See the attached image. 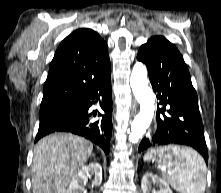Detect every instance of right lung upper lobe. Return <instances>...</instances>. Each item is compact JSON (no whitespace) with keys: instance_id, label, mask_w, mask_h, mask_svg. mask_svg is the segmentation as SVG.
Listing matches in <instances>:
<instances>
[{"instance_id":"cb5924a9","label":"right lung upper lobe","mask_w":221,"mask_h":193,"mask_svg":"<svg viewBox=\"0 0 221 193\" xmlns=\"http://www.w3.org/2000/svg\"><path fill=\"white\" fill-rule=\"evenodd\" d=\"M109 65L107 44L95 31L87 28L74 31L54 55L42 102L78 99L93 78Z\"/></svg>"}]
</instances>
